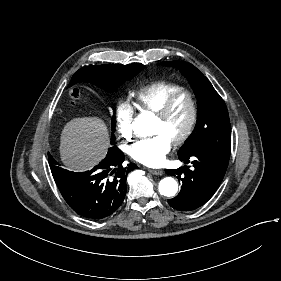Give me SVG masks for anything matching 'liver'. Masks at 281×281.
<instances>
[{"mask_svg":"<svg viewBox=\"0 0 281 281\" xmlns=\"http://www.w3.org/2000/svg\"><path fill=\"white\" fill-rule=\"evenodd\" d=\"M109 145V132L102 119L75 118L62 131L61 160L69 169L84 171L105 158Z\"/></svg>","mask_w":281,"mask_h":281,"instance_id":"1","label":"liver"}]
</instances>
